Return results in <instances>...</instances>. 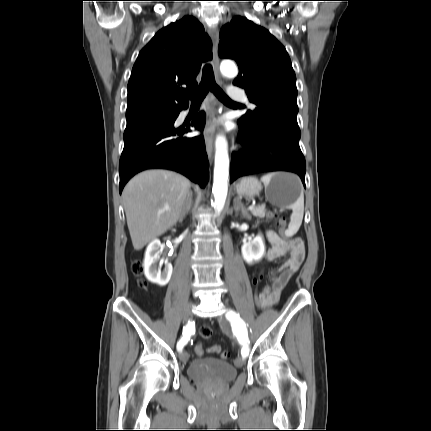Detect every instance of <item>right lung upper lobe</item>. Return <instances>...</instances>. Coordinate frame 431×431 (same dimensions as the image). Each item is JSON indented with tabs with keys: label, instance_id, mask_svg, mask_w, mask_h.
Here are the masks:
<instances>
[{
	"label": "right lung upper lobe",
	"instance_id": "cb5924a9",
	"mask_svg": "<svg viewBox=\"0 0 431 431\" xmlns=\"http://www.w3.org/2000/svg\"><path fill=\"white\" fill-rule=\"evenodd\" d=\"M211 58V40L194 17L186 16L158 31L133 66L127 123L187 107L184 92L196 88L201 64Z\"/></svg>",
	"mask_w": 431,
	"mask_h": 431
}]
</instances>
